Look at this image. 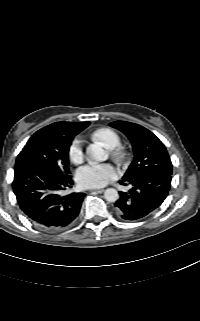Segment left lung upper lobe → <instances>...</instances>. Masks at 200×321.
Wrapping results in <instances>:
<instances>
[{"mask_svg":"<svg viewBox=\"0 0 200 321\" xmlns=\"http://www.w3.org/2000/svg\"><path fill=\"white\" fill-rule=\"evenodd\" d=\"M110 126L123 132L130 140L134 160L123 178L147 173L172 175V163L164 144L145 127L126 121H114Z\"/></svg>","mask_w":200,"mask_h":321,"instance_id":"left-lung-upper-lobe-1","label":"left lung upper lobe"}]
</instances>
